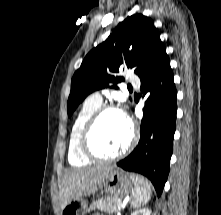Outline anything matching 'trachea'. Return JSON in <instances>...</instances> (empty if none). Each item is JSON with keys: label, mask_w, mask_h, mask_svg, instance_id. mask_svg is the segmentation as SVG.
I'll use <instances>...</instances> for the list:
<instances>
[{"label": "trachea", "mask_w": 221, "mask_h": 215, "mask_svg": "<svg viewBox=\"0 0 221 215\" xmlns=\"http://www.w3.org/2000/svg\"><path fill=\"white\" fill-rule=\"evenodd\" d=\"M128 87H129V88H132V86H131V85H129Z\"/></svg>", "instance_id": "1"}]
</instances>
